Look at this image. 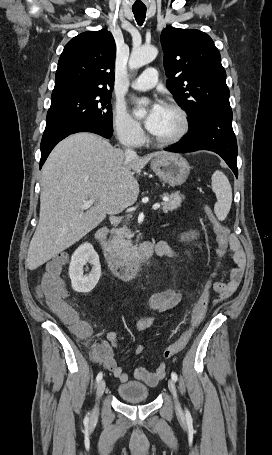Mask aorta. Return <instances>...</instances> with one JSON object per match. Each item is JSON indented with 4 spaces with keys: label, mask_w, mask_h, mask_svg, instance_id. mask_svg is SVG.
<instances>
[{
    "label": "aorta",
    "mask_w": 272,
    "mask_h": 455,
    "mask_svg": "<svg viewBox=\"0 0 272 455\" xmlns=\"http://www.w3.org/2000/svg\"><path fill=\"white\" fill-rule=\"evenodd\" d=\"M158 54V50L154 46H142L134 48L129 59V68L131 70L138 69L152 62ZM146 114L145 109L141 108L134 112L136 118H143Z\"/></svg>",
    "instance_id": "1"
}]
</instances>
